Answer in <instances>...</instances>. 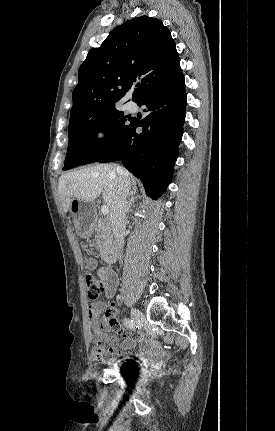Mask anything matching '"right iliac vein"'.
<instances>
[{
    "mask_svg": "<svg viewBox=\"0 0 275 431\" xmlns=\"http://www.w3.org/2000/svg\"><path fill=\"white\" fill-rule=\"evenodd\" d=\"M142 317V314L139 310L133 308L131 310V318L134 322H137Z\"/></svg>",
    "mask_w": 275,
    "mask_h": 431,
    "instance_id": "obj_1",
    "label": "right iliac vein"
}]
</instances>
